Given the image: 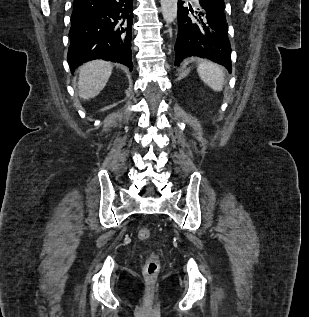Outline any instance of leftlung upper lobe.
<instances>
[{
    "instance_id": "left-lung-upper-lobe-1",
    "label": "left lung upper lobe",
    "mask_w": 309,
    "mask_h": 317,
    "mask_svg": "<svg viewBox=\"0 0 309 317\" xmlns=\"http://www.w3.org/2000/svg\"><path fill=\"white\" fill-rule=\"evenodd\" d=\"M215 1H218V2H222V3H224V0H215Z\"/></svg>"
}]
</instances>
